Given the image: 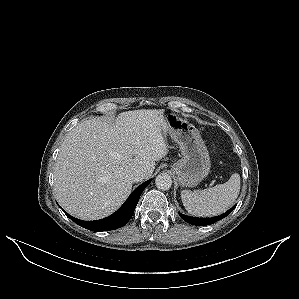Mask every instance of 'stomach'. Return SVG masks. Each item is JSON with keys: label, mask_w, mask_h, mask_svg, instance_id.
Returning a JSON list of instances; mask_svg holds the SVG:
<instances>
[{"label": "stomach", "mask_w": 299, "mask_h": 299, "mask_svg": "<svg viewBox=\"0 0 299 299\" xmlns=\"http://www.w3.org/2000/svg\"><path fill=\"white\" fill-rule=\"evenodd\" d=\"M166 133L179 145L182 158L172 165L183 187L198 185L210 172L208 149L198 129L175 113L164 116Z\"/></svg>", "instance_id": "stomach-1"}]
</instances>
